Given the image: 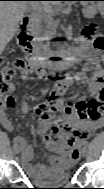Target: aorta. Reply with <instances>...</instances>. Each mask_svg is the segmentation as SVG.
Here are the masks:
<instances>
[{
  "mask_svg": "<svg viewBox=\"0 0 104 189\" xmlns=\"http://www.w3.org/2000/svg\"><path fill=\"white\" fill-rule=\"evenodd\" d=\"M61 54L64 55V54H65V51L61 50Z\"/></svg>",
  "mask_w": 104,
  "mask_h": 189,
  "instance_id": "aorta-1",
  "label": "aorta"
}]
</instances>
